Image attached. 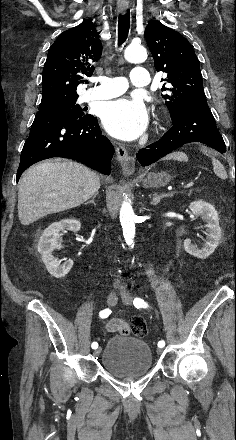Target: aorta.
<instances>
[{
	"instance_id": "obj_1",
	"label": "aorta",
	"mask_w": 236,
	"mask_h": 440,
	"mask_svg": "<svg viewBox=\"0 0 236 440\" xmlns=\"http://www.w3.org/2000/svg\"><path fill=\"white\" fill-rule=\"evenodd\" d=\"M125 59L130 63H142L147 59L146 48L142 45L131 44L124 51ZM136 215L130 203L123 201L120 208V222L123 229V236L128 245L133 243L135 237Z\"/></svg>"
}]
</instances>
